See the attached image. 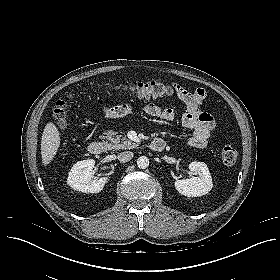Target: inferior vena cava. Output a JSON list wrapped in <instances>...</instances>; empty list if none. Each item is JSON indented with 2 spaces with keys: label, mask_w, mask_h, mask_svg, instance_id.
I'll return each instance as SVG.
<instances>
[{
  "label": "inferior vena cava",
  "mask_w": 280,
  "mask_h": 280,
  "mask_svg": "<svg viewBox=\"0 0 280 280\" xmlns=\"http://www.w3.org/2000/svg\"><path fill=\"white\" fill-rule=\"evenodd\" d=\"M133 158V152L131 151H125V152H121L118 155V160L121 162H128Z\"/></svg>",
  "instance_id": "inferior-vena-cava-1"
}]
</instances>
